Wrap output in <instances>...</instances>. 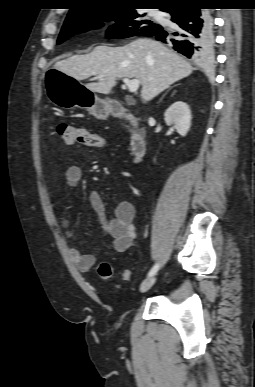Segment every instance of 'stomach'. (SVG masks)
I'll use <instances>...</instances> for the list:
<instances>
[{"mask_svg":"<svg viewBox=\"0 0 255 387\" xmlns=\"http://www.w3.org/2000/svg\"><path fill=\"white\" fill-rule=\"evenodd\" d=\"M49 100L62 108L80 107L100 120L111 112V101L100 99L95 92L78 83L64 70H43Z\"/></svg>","mask_w":255,"mask_h":387,"instance_id":"obj_1","label":"stomach"}]
</instances>
